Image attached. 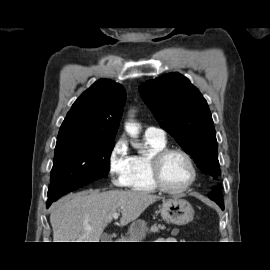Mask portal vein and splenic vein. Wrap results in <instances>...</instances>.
I'll list each match as a JSON object with an SVG mask.
<instances>
[{"label": "portal vein and splenic vein", "instance_id": "18ae733b", "mask_svg": "<svg viewBox=\"0 0 270 270\" xmlns=\"http://www.w3.org/2000/svg\"><path fill=\"white\" fill-rule=\"evenodd\" d=\"M118 217H119V213H118V212H115V213L113 214V218H114L115 220H117Z\"/></svg>", "mask_w": 270, "mask_h": 270}]
</instances>
